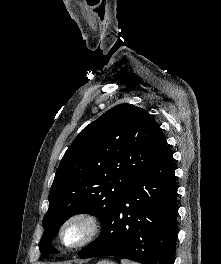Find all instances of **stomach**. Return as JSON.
<instances>
[{
    "mask_svg": "<svg viewBox=\"0 0 221 264\" xmlns=\"http://www.w3.org/2000/svg\"><path fill=\"white\" fill-rule=\"evenodd\" d=\"M97 264H116V263L113 261H109V260H102V261H99Z\"/></svg>",
    "mask_w": 221,
    "mask_h": 264,
    "instance_id": "obj_1",
    "label": "stomach"
}]
</instances>
